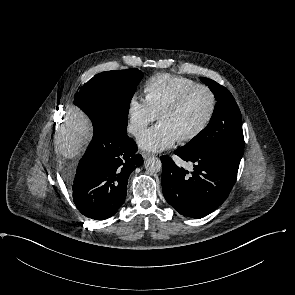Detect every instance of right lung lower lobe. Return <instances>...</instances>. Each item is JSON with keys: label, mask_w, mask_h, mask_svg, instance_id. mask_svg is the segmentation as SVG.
<instances>
[{"label": "right lung lower lobe", "mask_w": 295, "mask_h": 295, "mask_svg": "<svg viewBox=\"0 0 295 295\" xmlns=\"http://www.w3.org/2000/svg\"><path fill=\"white\" fill-rule=\"evenodd\" d=\"M93 129V138L77 167L73 199L83 215L104 220L124 203L128 178L143 158L126 133L96 123Z\"/></svg>", "instance_id": "98d812e1"}]
</instances>
